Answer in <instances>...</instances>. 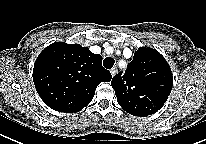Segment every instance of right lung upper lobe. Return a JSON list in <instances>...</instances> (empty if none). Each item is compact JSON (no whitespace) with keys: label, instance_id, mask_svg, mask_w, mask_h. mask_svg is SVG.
<instances>
[{"label":"right lung upper lobe","instance_id":"cb5924a9","mask_svg":"<svg viewBox=\"0 0 206 144\" xmlns=\"http://www.w3.org/2000/svg\"><path fill=\"white\" fill-rule=\"evenodd\" d=\"M112 75L102 67V56L80 44L55 42L35 61V88L50 108L78 112L93 99L97 86Z\"/></svg>","mask_w":206,"mask_h":144}]
</instances>
